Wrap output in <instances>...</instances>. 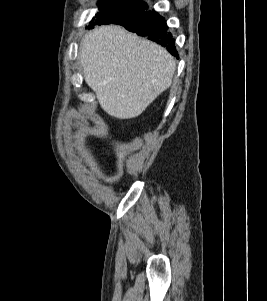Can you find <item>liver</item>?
Returning a JSON list of instances; mask_svg holds the SVG:
<instances>
[{"label":"liver","instance_id":"6515ba94","mask_svg":"<svg viewBox=\"0 0 267 301\" xmlns=\"http://www.w3.org/2000/svg\"><path fill=\"white\" fill-rule=\"evenodd\" d=\"M79 58L101 108L118 119L139 116L171 86L176 69L165 48L112 25L85 35Z\"/></svg>","mask_w":267,"mask_h":301}]
</instances>
